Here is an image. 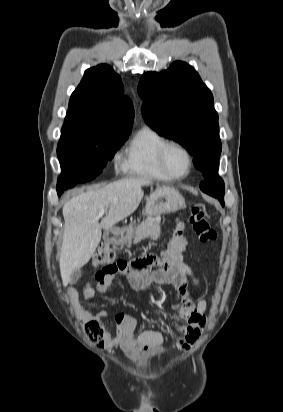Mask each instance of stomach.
I'll return each mask as SVG.
<instances>
[{"label": "stomach", "instance_id": "obj_1", "mask_svg": "<svg viewBox=\"0 0 283 412\" xmlns=\"http://www.w3.org/2000/svg\"><path fill=\"white\" fill-rule=\"evenodd\" d=\"M185 205L183 196L172 187L157 188L146 200L145 215L155 217L165 213H174ZM126 229H120L109 238L116 245L127 242Z\"/></svg>", "mask_w": 283, "mask_h": 412}]
</instances>
